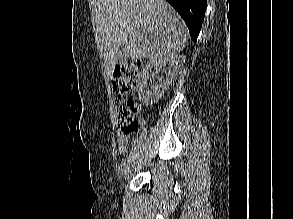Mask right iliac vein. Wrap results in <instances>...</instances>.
I'll use <instances>...</instances> for the list:
<instances>
[{"instance_id": "63e3f726", "label": "right iliac vein", "mask_w": 293, "mask_h": 219, "mask_svg": "<svg viewBox=\"0 0 293 219\" xmlns=\"http://www.w3.org/2000/svg\"><path fill=\"white\" fill-rule=\"evenodd\" d=\"M134 167V162H131L127 165L122 173V183H124L130 176L132 169Z\"/></svg>"}]
</instances>
